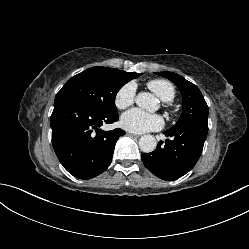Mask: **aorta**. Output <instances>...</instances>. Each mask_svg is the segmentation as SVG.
Returning a JSON list of instances; mask_svg holds the SVG:
<instances>
[{
  "label": "aorta",
  "instance_id": "762f6f07",
  "mask_svg": "<svg viewBox=\"0 0 249 249\" xmlns=\"http://www.w3.org/2000/svg\"><path fill=\"white\" fill-rule=\"evenodd\" d=\"M136 104L146 110H151L155 106V98L151 93L148 92H140L136 96ZM157 142L154 136L152 135H144L139 139V147L141 151L145 153H150L156 149Z\"/></svg>",
  "mask_w": 249,
  "mask_h": 249
}]
</instances>
